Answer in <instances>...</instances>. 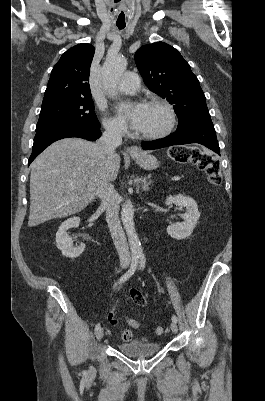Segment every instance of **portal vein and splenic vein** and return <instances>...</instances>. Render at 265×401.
<instances>
[{
	"label": "portal vein and splenic vein",
	"mask_w": 265,
	"mask_h": 401,
	"mask_svg": "<svg viewBox=\"0 0 265 401\" xmlns=\"http://www.w3.org/2000/svg\"><path fill=\"white\" fill-rule=\"evenodd\" d=\"M172 180H174V181H182L183 177L182 176H174V177H172Z\"/></svg>",
	"instance_id": "18ae733b"
}]
</instances>
